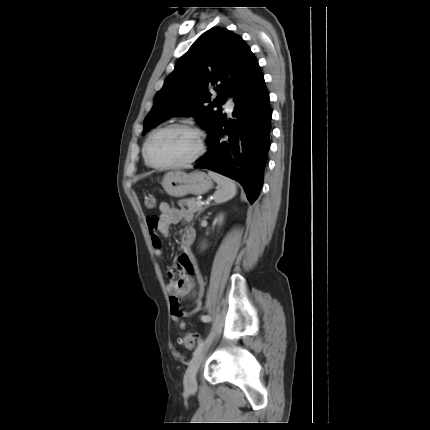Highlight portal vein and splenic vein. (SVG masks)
Listing matches in <instances>:
<instances>
[{
	"instance_id": "18ae733b",
	"label": "portal vein and splenic vein",
	"mask_w": 430,
	"mask_h": 430,
	"mask_svg": "<svg viewBox=\"0 0 430 430\" xmlns=\"http://www.w3.org/2000/svg\"><path fill=\"white\" fill-rule=\"evenodd\" d=\"M204 204H205V203H204L203 201H201V200H198V201H197V205H198V206H203Z\"/></svg>"
}]
</instances>
